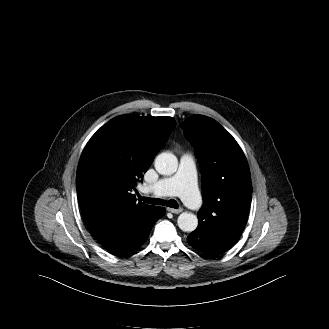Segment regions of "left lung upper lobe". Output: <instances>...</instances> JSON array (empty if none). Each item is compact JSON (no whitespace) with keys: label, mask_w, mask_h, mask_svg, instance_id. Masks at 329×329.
<instances>
[{"label":"left lung upper lobe","mask_w":329,"mask_h":329,"mask_svg":"<svg viewBox=\"0 0 329 329\" xmlns=\"http://www.w3.org/2000/svg\"><path fill=\"white\" fill-rule=\"evenodd\" d=\"M180 126L201 167L204 203L198 225L222 230L229 222L246 223L252 184L238 143L217 121L203 115H194Z\"/></svg>","instance_id":"5c2ea615"}]
</instances>
